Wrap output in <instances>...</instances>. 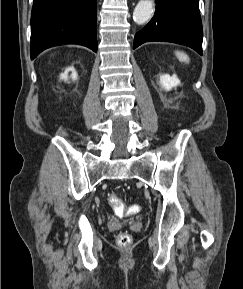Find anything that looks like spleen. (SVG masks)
I'll use <instances>...</instances> for the list:
<instances>
[{"instance_id":"1","label":"spleen","mask_w":243,"mask_h":289,"mask_svg":"<svg viewBox=\"0 0 243 289\" xmlns=\"http://www.w3.org/2000/svg\"><path fill=\"white\" fill-rule=\"evenodd\" d=\"M175 55L177 56L178 60L181 62L189 63L190 61L188 55L182 51H176Z\"/></svg>"}]
</instances>
